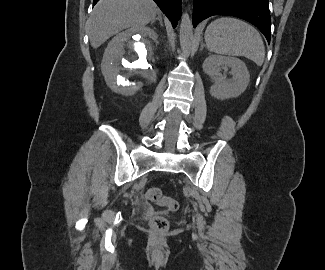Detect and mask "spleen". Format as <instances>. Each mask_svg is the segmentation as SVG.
Segmentation results:
<instances>
[{
	"label": "spleen",
	"instance_id": "3e777b00",
	"mask_svg": "<svg viewBox=\"0 0 325 270\" xmlns=\"http://www.w3.org/2000/svg\"><path fill=\"white\" fill-rule=\"evenodd\" d=\"M209 51L228 56H244L258 66L265 58L263 40L252 25L240 19L221 17L213 21L205 31Z\"/></svg>",
	"mask_w": 325,
	"mask_h": 270
}]
</instances>
